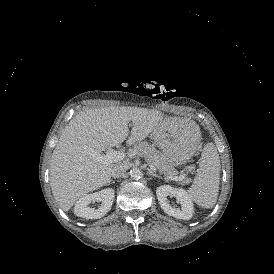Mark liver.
Returning <instances> with one entry per match:
<instances>
[{"label": "liver", "instance_id": "liver-1", "mask_svg": "<svg viewBox=\"0 0 274 274\" xmlns=\"http://www.w3.org/2000/svg\"><path fill=\"white\" fill-rule=\"evenodd\" d=\"M164 119L158 110L127 106L90 108L77 114L63 130L52 154L50 185L60 207L68 211L78 199L110 182L112 169L120 162H101L95 154L101 155L126 140L129 122L133 127L126 143L134 146L160 129Z\"/></svg>", "mask_w": 274, "mask_h": 274}]
</instances>
